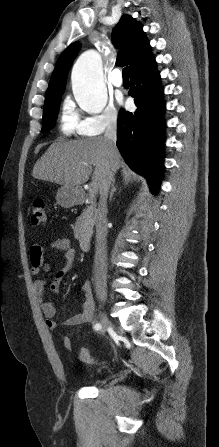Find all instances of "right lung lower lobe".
I'll return each mask as SVG.
<instances>
[{"instance_id":"obj_1","label":"right lung lower lobe","mask_w":219,"mask_h":447,"mask_svg":"<svg viewBox=\"0 0 219 447\" xmlns=\"http://www.w3.org/2000/svg\"><path fill=\"white\" fill-rule=\"evenodd\" d=\"M129 95L134 113L121 109L118 115L117 147L130 168L145 176L155 194L163 168V88L155 58L130 75Z\"/></svg>"}]
</instances>
